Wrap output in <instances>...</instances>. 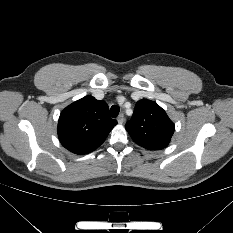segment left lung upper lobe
I'll list each match as a JSON object with an SVG mask.
<instances>
[{
  "label": "left lung upper lobe",
  "mask_w": 233,
  "mask_h": 233,
  "mask_svg": "<svg viewBox=\"0 0 233 233\" xmlns=\"http://www.w3.org/2000/svg\"><path fill=\"white\" fill-rule=\"evenodd\" d=\"M125 128L135 143L148 150L165 148L175 130L166 112L156 102L147 99L136 103Z\"/></svg>",
  "instance_id": "5c2ea615"
}]
</instances>
